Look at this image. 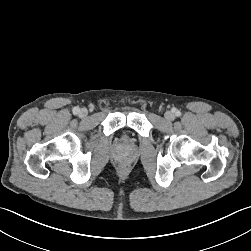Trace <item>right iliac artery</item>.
Returning <instances> with one entry per match:
<instances>
[{
    "instance_id": "82829eb1",
    "label": "right iliac artery",
    "mask_w": 251,
    "mask_h": 251,
    "mask_svg": "<svg viewBox=\"0 0 251 251\" xmlns=\"http://www.w3.org/2000/svg\"><path fill=\"white\" fill-rule=\"evenodd\" d=\"M79 111H80L79 107H74V108H73V113H74V114H78Z\"/></svg>"
}]
</instances>
